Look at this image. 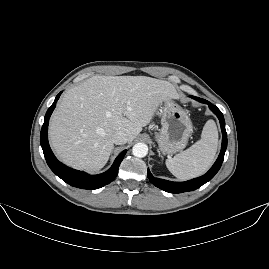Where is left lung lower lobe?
<instances>
[{"label":"left lung lower lobe","instance_id":"left-lung-lower-lobe-1","mask_svg":"<svg viewBox=\"0 0 269 269\" xmlns=\"http://www.w3.org/2000/svg\"><path fill=\"white\" fill-rule=\"evenodd\" d=\"M191 98L199 102L208 104L209 108L218 117L220 121V125H221L222 134H223L221 151L216 162L205 175L189 180V181H185V182H172V181H168L164 179L154 178L148 169V178L150 182L156 187L169 193H182V192L193 191L201 187L203 184H205L209 180H211L215 176V174L219 171L222 165V162L224 160V154L227 148V133L225 130V120H224L222 112L215 105H212L209 101H206L204 99L194 97V96H191Z\"/></svg>","mask_w":269,"mask_h":269}]
</instances>
